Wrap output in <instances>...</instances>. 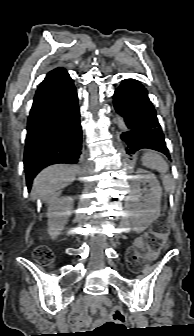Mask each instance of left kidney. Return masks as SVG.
Listing matches in <instances>:
<instances>
[{
    "mask_svg": "<svg viewBox=\"0 0 194 336\" xmlns=\"http://www.w3.org/2000/svg\"><path fill=\"white\" fill-rule=\"evenodd\" d=\"M132 191L128 197L130 206V217L134 227L139 231H144L151 223L159 217L161 187L156 176L145 170H138L132 177ZM149 184V191L142 198L141 185ZM141 199L144 203H140Z\"/></svg>",
    "mask_w": 194,
    "mask_h": 336,
    "instance_id": "5707ae66",
    "label": "left kidney"
}]
</instances>
